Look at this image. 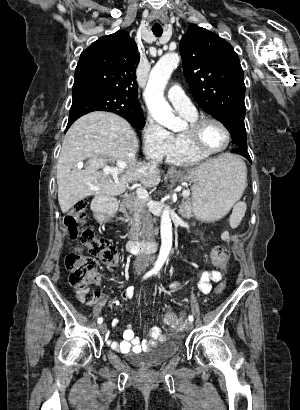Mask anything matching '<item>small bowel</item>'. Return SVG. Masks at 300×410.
Instances as JSON below:
<instances>
[{
	"mask_svg": "<svg viewBox=\"0 0 300 410\" xmlns=\"http://www.w3.org/2000/svg\"><path fill=\"white\" fill-rule=\"evenodd\" d=\"M222 238L229 239V233L224 232ZM223 278L222 272L218 270H205L202 272L200 279L198 281L197 287L202 294H209L212 290V284L220 281ZM101 278L98 276L94 279V284H100ZM135 294L133 287H128L121 295L124 300L131 299ZM90 296V298H89ZM77 300L80 303H86L90 308L97 306V312L100 311L102 307L101 294L94 288H82L77 291ZM116 303V300L114 301ZM117 323H114V326ZM122 341H113L108 339L109 345L112 349L127 353V352H141L145 351L157 342L162 341L164 338L163 331L160 327L154 326L149 332L148 336L144 340H140L134 332L132 325H127L123 333Z\"/></svg>",
	"mask_w": 300,
	"mask_h": 410,
	"instance_id": "1",
	"label": "small bowel"
}]
</instances>
